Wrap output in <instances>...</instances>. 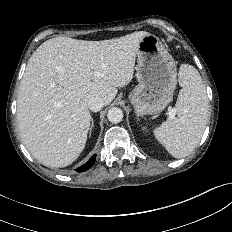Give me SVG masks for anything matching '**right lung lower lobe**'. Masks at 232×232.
<instances>
[{"mask_svg":"<svg viewBox=\"0 0 232 232\" xmlns=\"http://www.w3.org/2000/svg\"><path fill=\"white\" fill-rule=\"evenodd\" d=\"M95 158H96V155L92 156V158H90L88 162H86L84 165L79 167L76 171L83 172V171L90 169L95 162Z\"/></svg>","mask_w":232,"mask_h":232,"instance_id":"obj_1","label":"right lung lower lobe"}]
</instances>
